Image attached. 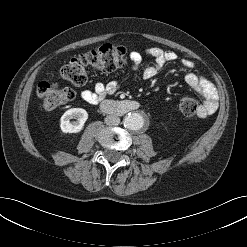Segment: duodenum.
I'll use <instances>...</instances> for the list:
<instances>
[{"label": "duodenum", "instance_id": "duodenum-1", "mask_svg": "<svg viewBox=\"0 0 247 247\" xmlns=\"http://www.w3.org/2000/svg\"><path fill=\"white\" fill-rule=\"evenodd\" d=\"M101 109L109 114L123 115L140 109V103L134 100H104Z\"/></svg>", "mask_w": 247, "mask_h": 247}]
</instances>
